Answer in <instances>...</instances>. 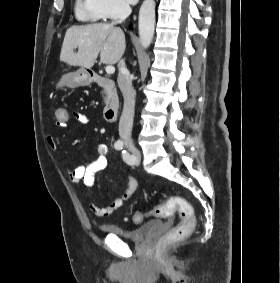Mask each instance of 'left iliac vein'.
I'll list each match as a JSON object with an SVG mask.
<instances>
[{
  "label": "left iliac vein",
  "instance_id": "obj_1",
  "mask_svg": "<svg viewBox=\"0 0 280 283\" xmlns=\"http://www.w3.org/2000/svg\"><path fill=\"white\" fill-rule=\"evenodd\" d=\"M132 157H133V163L132 164H138L140 162V158H141L140 151L136 148L132 149Z\"/></svg>",
  "mask_w": 280,
  "mask_h": 283
}]
</instances>
